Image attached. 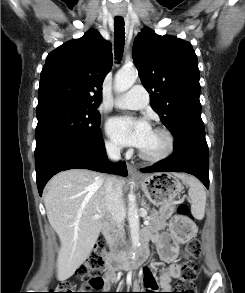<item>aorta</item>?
Here are the masks:
<instances>
[{"label":"aorta","mask_w":245,"mask_h":293,"mask_svg":"<svg viewBox=\"0 0 245 293\" xmlns=\"http://www.w3.org/2000/svg\"><path fill=\"white\" fill-rule=\"evenodd\" d=\"M137 71L134 68H124L117 72L114 79V88L117 92H125L133 86L137 79ZM128 201V222L130 228L131 242L134 249L139 245L140 221L138 208L134 195H129Z\"/></svg>","instance_id":"762f6f07"}]
</instances>
